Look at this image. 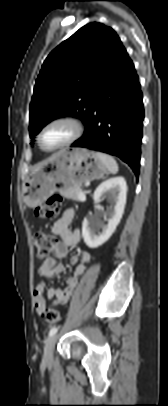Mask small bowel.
<instances>
[{"instance_id":"obj_1","label":"small bowel","mask_w":168,"mask_h":406,"mask_svg":"<svg viewBox=\"0 0 168 406\" xmlns=\"http://www.w3.org/2000/svg\"><path fill=\"white\" fill-rule=\"evenodd\" d=\"M74 215L73 209H67L51 226V233L58 236V241L50 257L45 259L38 267L37 273L39 277L44 279L53 278L64 272L65 268L60 259L67 256L69 248L76 245L81 239L80 231L70 227ZM91 259L92 255L87 251L73 255L70 258V263L75 267L74 274L66 278L64 288L50 287L47 289L46 295L52 306L65 305L69 301L78 286L79 278L85 273V264L90 262ZM43 292L44 283L41 282L34 290V300L38 312H41L45 307Z\"/></svg>"}]
</instances>
